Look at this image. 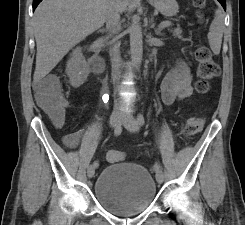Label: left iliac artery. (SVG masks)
Here are the masks:
<instances>
[{
	"mask_svg": "<svg viewBox=\"0 0 245 225\" xmlns=\"http://www.w3.org/2000/svg\"><path fill=\"white\" fill-rule=\"evenodd\" d=\"M137 120H138L139 125H141V126L144 125L145 120H144V116H143L142 114H139V115H138ZM153 171H154L156 174H157L158 172H162V168H161V166H160L159 163H155V164H154V166H153Z\"/></svg>",
	"mask_w": 245,
	"mask_h": 225,
	"instance_id": "left-iliac-artery-1",
	"label": "left iliac artery"
}]
</instances>
